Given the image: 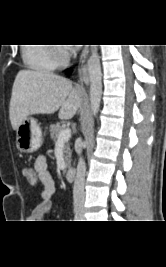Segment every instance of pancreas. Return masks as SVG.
<instances>
[{
  "instance_id": "1",
  "label": "pancreas",
  "mask_w": 166,
  "mask_h": 267,
  "mask_svg": "<svg viewBox=\"0 0 166 267\" xmlns=\"http://www.w3.org/2000/svg\"><path fill=\"white\" fill-rule=\"evenodd\" d=\"M63 130H65V126L60 125L59 123L51 125L50 126V136H51V138L54 141H56L58 136H59V134H60V132L63 131ZM64 153H65L66 166L70 167L72 151L70 149V145H69L68 142H66Z\"/></svg>"
}]
</instances>
